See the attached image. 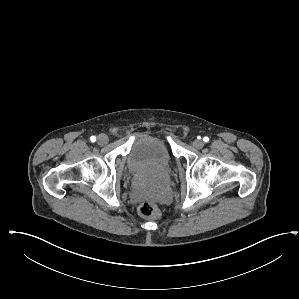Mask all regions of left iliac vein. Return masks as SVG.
<instances>
[{
	"label": "left iliac vein",
	"instance_id": "4c4485c4",
	"mask_svg": "<svg viewBox=\"0 0 299 299\" xmlns=\"http://www.w3.org/2000/svg\"><path fill=\"white\" fill-rule=\"evenodd\" d=\"M192 145L196 149H201L204 146V142L202 140L196 139L192 142Z\"/></svg>",
	"mask_w": 299,
	"mask_h": 299
}]
</instances>
